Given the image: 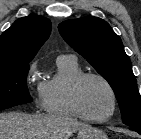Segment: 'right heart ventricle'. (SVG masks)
I'll return each mask as SVG.
<instances>
[{"label":"right heart ventricle","mask_w":141,"mask_h":139,"mask_svg":"<svg viewBox=\"0 0 141 139\" xmlns=\"http://www.w3.org/2000/svg\"><path fill=\"white\" fill-rule=\"evenodd\" d=\"M83 73L76 58H58L55 74L39 85V94L44 110L60 116L80 117L72 106L70 88L72 82Z\"/></svg>","instance_id":"1"}]
</instances>
